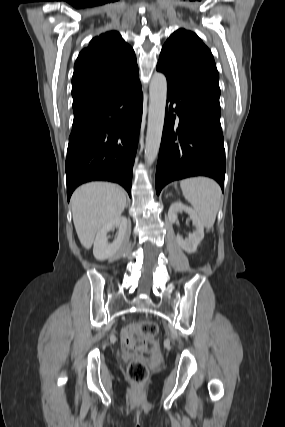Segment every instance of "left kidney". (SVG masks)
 <instances>
[{"mask_svg":"<svg viewBox=\"0 0 285 427\" xmlns=\"http://www.w3.org/2000/svg\"><path fill=\"white\" fill-rule=\"evenodd\" d=\"M183 211L189 215L193 225L196 227V230L190 234L187 239H183L182 237L177 236V243L187 253H194L204 238V226L202 225L196 212L192 208H189L180 202H176L173 203L169 208L168 219L171 223H175L178 213Z\"/></svg>","mask_w":285,"mask_h":427,"instance_id":"left-kidney-1","label":"left kidney"}]
</instances>
